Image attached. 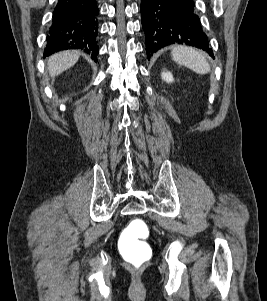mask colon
<instances>
[{"label":"colon","mask_w":267,"mask_h":301,"mask_svg":"<svg viewBox=\"0 0 267 301\" xmlns=\"http://www.w3.org/2000/svg\"><path fill=\"white\" fill-rule=\"evenodd\" d=\"M148 235L149 228L140 218L131 220L122 232L119 241L121 255L135 268L143 266L151 258V248L145 241Z\"/></svg>","instance_id":"colon-1"}]
</instances>
